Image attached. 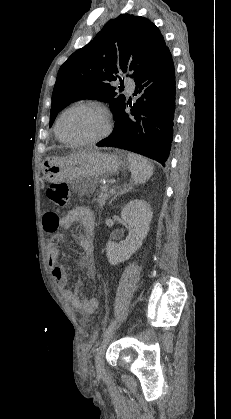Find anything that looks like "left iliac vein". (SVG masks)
Instances as JSON below:
<instances>
[{
	"mask_svg": "<svg viewBox=\"0 0 231 419\" xmlns=\"http://www.w3.org/2000/svg\"><path fill=\"white\" fill-rule=\"evenodd\" d=\"M113 336H114V332L112 331L107 337L104 338V340L102 341L100 347L98 348L96 352V355H95L96 369H97V373L100 375H103L105 372L104 354Z\"/></svg>",
	"mask_w": 231,
	"mask_h": 419,
	"instance_id": "obj_1",
	"label": "left iliac vein"
}]
</instances>
